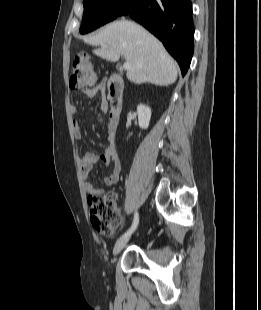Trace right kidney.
Here are the masks:
<instances>
[{
  "label": "right kidney",
  "instance_id": "obj_1",
  "mask_svg": "<svg viewBox=\"0 0 261 310\" xmlns=\"http://www.w3.org/2000/svg\"><path fill=\"white\" fill-rule=\"evenodd\" d=\"M139 127L147 129L151 119V109L143 104L137 106Z\"/></svg>",
  "mask_w": 261,
  "mask_h": 310
}]
</instances>
